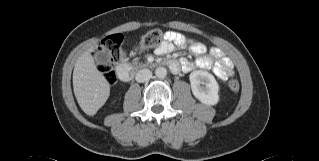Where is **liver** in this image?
I'll return each instance as SVG.
<instances>
[{"label":"liver","mask_w":319,"mask_h":161,"mask_svg":"<svg viewBox=\"0 0 319 161\" xmlns=\"http://www.w3.org/2000/svg\"><path fill=\"white\" fill-rule=\"evenodd\" d=\"M85 51L76 61L73 70V89L77 102L87 115H94L105 104L110 94V85L97 69L92 52Z\"/></svg>","instance_id":"liver-1"}]
</instances>
